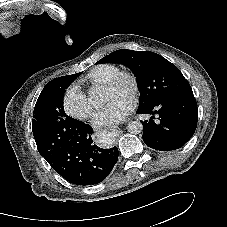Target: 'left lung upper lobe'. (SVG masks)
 Masks as SVG:
<instances>
[{
    "label": "left lung upper lobe",
    "mask_w": 227,
    "mask_h": 227,
    "mask_svg": "<svg viewBox=\"0 0 227 227\" xmlns=\"http://www.w3.org/2000/svg\"><path fill=\"white\" fill-rule=\"evenodd\" d=\"M97 63H120L134 73L140 91L139 107L178 95L193 94L180 70L164 57L150 51L120 49Z\"/></svg>",
    "instance_id": "obj_1"
}]
</instances>
